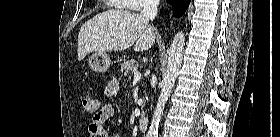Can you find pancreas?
Masks as SVG:
<instances>
[{
  "instance_id": "obj_1",
  "label": "pancreas",
  "mask_w": 280,
  "mask_h": 137,
  "mask_svg": "<svg viewBox=\"0 0 280 137\" xmlns=\"http://www.w3.org/2000/svg\"><path fill=\"white\" fill-rule=\"evenodd\" d=\"M138 69V63H136V61L134 59L125 61L122 65H121V71L124 72V76L127 78L131 77V72H135ZM142 115H143V111H142Z\"/></svg>"
}]
</instances>
